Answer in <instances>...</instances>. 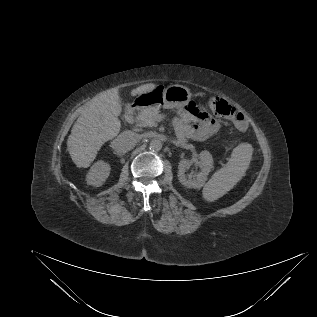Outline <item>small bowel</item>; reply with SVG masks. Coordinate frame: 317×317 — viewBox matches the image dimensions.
Masks as SVG:
<instances>
[{
  "instance_id": "c3829d8e",
  "label": "small bowel",
  "mask_w": 317,
  "mask_h": 317,
  "mask_svg": "<svg viewBox=\"0 0 317 317\" xmlns=\"http://www.w3.org/2000/svg\"><path fill=\"white\" fill-rule=\"evenodd\" d=\"M173 125L177 136L182 140L202 141L214 135L219 129L217 121L204 113H201L197 120H193L191 114L181 113L174 119Z\"/></svg>"
}]
</instances>
